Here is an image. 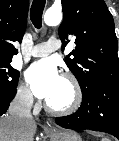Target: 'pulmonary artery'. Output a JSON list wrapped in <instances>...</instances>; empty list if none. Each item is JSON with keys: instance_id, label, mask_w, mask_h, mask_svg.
I'll return each mask as SVG.
<instances>
[{"instance_id": "pulmonary-artery-1", "label": "pulmonary artery", "mask_w": 119, "mask_h": 141, "mask_svg": "<svg viewBox=\"0 0 119 141\" xmlns=\"http://www.w3.org/2000/svg\"><path fill=\"white\" fill-rule=\"evenodd\" d=\"M60 42L55 37L49 38L46 42L37 44L30 49V55L33 57L47 56L51 52L60 48Z\"/></svg>"}]
</instances>
